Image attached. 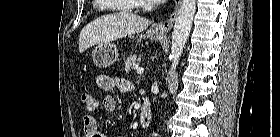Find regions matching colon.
<instances>
[{
	"mask_svg": "<svg viewBox=\"0 0 280 137\" xmlns=\"http://www.w3.org/2000/svg\"><path fill=\"white\" fill-rule=\"evenodd\" d=\"M81 103L87 110H95L98 104L96 96L88 93L81 95Z\"/></svg>",
	"mask_w": 280,
	"mask_h": 137,
	"instance_id": "5ec220e1",
	"label": "colon"
}]
</instances>
